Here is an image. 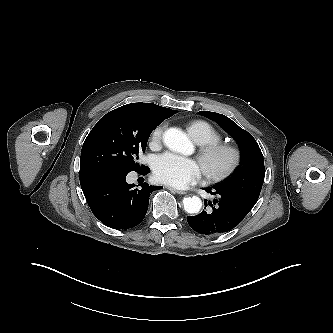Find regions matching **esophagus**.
<instances>
[{
	"mask_svg": "<svg viewBox=\"0 0 333 333\" xmlns=\"http://www.w3.org/2000/svg\"><path fill=\"white\" fill-rule=\"evenodd\" d=\"M167 189L170 190V191H172V192H174V193L180 194V195H184V194H186L185 191L177 190V189H175V188H173V187H170V186H167Z\"/></svg>",
	"mask_w": 333,
	"mask_h": 333,
	"instance_id": "34e87169",
	"label": "esophagus"
}]
</instances>
